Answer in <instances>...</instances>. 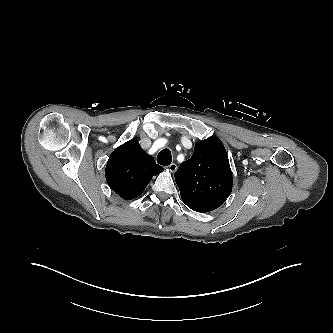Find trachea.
I'll use <instances>...</instances> for the list:
<instances>
[{
	"label": "trachea",
	"mask_w": 333,
	"mask_h": 333,
	"mask_svg": "<svg viewBox=\"0 0 333 333\" xmlns=\"http://www.w3.org/2000/svg\"><path fill=\"white\" fill-rule=\"evenodd\" d=\"M171 161H172V155L169 149H163L157 155V162L160 165L168 166L171 164Z\"/></svg>",
	"instance_id": "trachea-1"
}]
</instances>
